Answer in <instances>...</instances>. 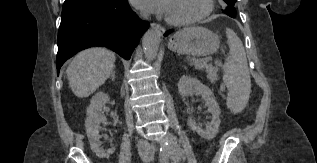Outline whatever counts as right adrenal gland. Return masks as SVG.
I'll list each match as a JSON object with an SVG mask.
<instances>
[{"label":"right adrenal gland","instance_id":"2a0ac1e0","mask_svg":"<svg viewBox=\"0 0 317 163\" xmlns=\"http://www.w3.org/2000/svg\"><path fill=\"white\" fill-rule=\"evenodd\" d=\"M115 74H116V72L113 71V72L111 73V75H110V78L112 79V81H115V78H116Z\"/></svg>","mask_w":317,"mask_h":163}]
</instances>
